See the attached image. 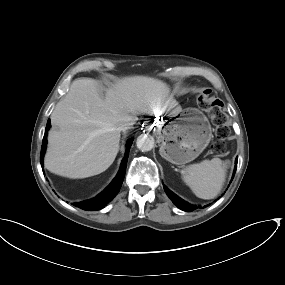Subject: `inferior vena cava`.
<instances>
[{
	"label": "inferior vena cava",
	"instance_id": "inferior-vena-cava-1",
	"mask_svg": "<svg viewBox=\"0 0 285 285\" xmlns=\"http://www.w3.org/2000/svg\"><path fill=\"white\" fill-rule=\"evenodd\" d=\"M134 122H135L134 119H130L128 122H126L125 124H123L120 127H118V130L125 132L126 130L131 128L130 126L133 125Z\"/></svg>",
	"mask_w": 285,
	"mask_h": 285
}]
</instances>
